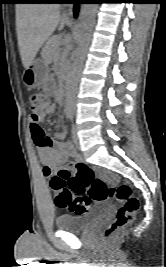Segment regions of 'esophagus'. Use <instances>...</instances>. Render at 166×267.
<instances>
[{"mask_svg": "<svg viewBox=\"0 0 166 267\" xmlns=\"http://www.w3.org/2000/svg\"><path fill=\"white\" fill-rule=\"evenodd\" d=\"M64 13L66 15L72 16V14H73V4L68 3L67 5H65Z\"/></svg>", "mask_w": 166, "mask_h": 267, "instance_id": "34e87169", "label": "esophagus"}]
</instances>
